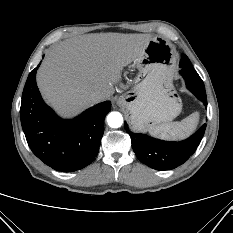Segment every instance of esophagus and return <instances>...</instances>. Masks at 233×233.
<instances>
[{
  "label": "esophagus",
  "instance_id": "esophagus-1",
  "mask_svg": "<svg viewBox=\"0 0 233 233\" xmlns=\"http://www.w3.org/2000/svg\"><path fill=\"white\" fill-rule=\"evenodd\" d=\"M125 103H126V101H125V99H123V98H119V99L117 100V105H118V106H123Z\"/></svg>",
  "mask_w": 233,
  "mask_h": 233
}]
</instances>
